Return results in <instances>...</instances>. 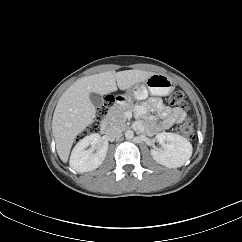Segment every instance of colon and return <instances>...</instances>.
Returning a JSON list of instances; mask_svg holds the SVG:
<instances>
[{"label":"colon","mask_w":242,"mask_h":242,"mask_svg":"<svg viewBox=\"0 0 242 242\" xmlns=\"http://www.w3.org/2000/svg\"><path fill=\"white\" fill-rule=\"evenodd\" d=\"M168 102L171 106L175 107L179 110H186L187 109V101L182 91L176 90L174 91L168 99ZM114 104V97L109 96L105 100L104 104L99 108L97 112V118L93 121L90 126V131H97L99 127V122L107 115L109 109ZM179 132L189 139H194V125L190 119L184 120L180 126L178 127Z\"/></svg>","instance_id":"5ec220e1"}]
</instances>
